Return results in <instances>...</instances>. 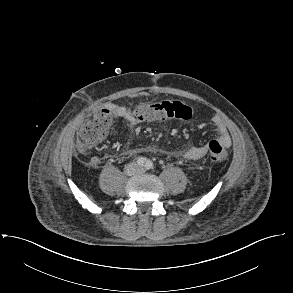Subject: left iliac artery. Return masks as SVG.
Instances as JSON below:
<instances>
[{"label": "left iliac artery", "mask_w": 293, "mask_h": 293, "mask_svg": "<svg viewBox=\"0 0 293 293\" xmlns=\"http://www.w3.org/2000/svg\"><path fill=\"white\" fill-rule=\"evenodd\" d=\"M145 168H146L147 170L152 169V168H153V163H152V161H150V160L146 161V163H145Z\"/></svg>", "instance_id": "44dca946"}]
</instances>
